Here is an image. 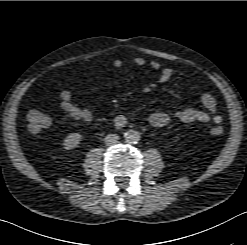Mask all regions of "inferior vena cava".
Instances as JSON below:
<instances>
[{
    "instance_id": "obj_1",
    "label": "inferior vena cava",
    "mask_w": 247,
    "mask_h": 245,
    "mask_svg": "<svg viewBox=\"0 0 247 245\" xmlns=\"http://www.w3.org/2000/svg\"><path fill=\"white\" fill-rule=\"evenodd\" d=\"M118 135L117 134H114V133H110L108 134L106 137H105V144L106 145H113V144H116L118 142Z\"/></svg>"
}]
</instances>
